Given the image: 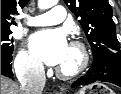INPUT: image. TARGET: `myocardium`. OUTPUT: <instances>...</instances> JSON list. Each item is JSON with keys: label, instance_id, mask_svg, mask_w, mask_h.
Returning <instances> with one entry per match:
<instances>
[{"label": "myocardium", "instance_id": "1", "mask_svg": "<svg viewBox=\"0 0 121 94\" xmlns=\"http://www.w3.org/2000/svg\"><path fill=\"white\" fill-rule=\"evenodd\" d=\"M70 47L77 51L79 56V61L74 68L69 70L62 69L60 67L56 68L55 71L57 76L63 80H71L82 75L87 69L90 61L89 52L86 46L82 42L74 40L70 43Z\"/></svg>", "mask_w": 121, "mask_h": 94}]
</instances>
